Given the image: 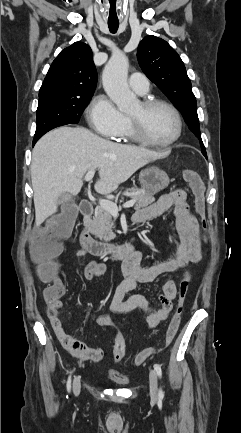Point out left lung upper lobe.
<instances>
[{
  "label": "left lung upper lobe",
  "mask_w": 241,
  "mask_h": 433,
  "mask_svg": "<svg viewBox=\"0 0 241 433\" xmlns=\"http://www.w3.org/2000/svg\"><path fill=\"white\" fill-rule=\"evenodd\" d=\"M137 57L146 76L180 109L189 129L201 140L196 98L178 53L163 39L146 36L139 44Z\"/></svg>",
  "instance_id": "obj_1"
}]
</instances>
